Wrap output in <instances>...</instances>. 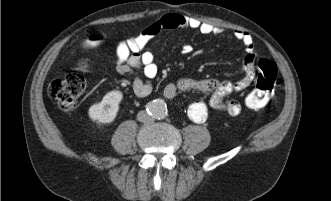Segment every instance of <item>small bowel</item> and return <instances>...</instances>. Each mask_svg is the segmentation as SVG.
I'll use <instances>...</instances> for the list:
<instances>
[{
    "label": "small bowel",
    "instance_id": "1",
    "mask_svg": "<svg viewBox=\"0 0 331 201\" xmlns=\"http://www.w3.org/2000/svg\"><path fill=\"white\" fill-rule=\"evenodd\" d=\"M189 28L196 30L203 35L221 34L223 29L219 26L199 21L195 18L181 14H168L137 34L119 41L115 47L116 70L121 75L132 74L140 70L145 77L152 79L156 76L158 68L154 61V55L147 50L148 43L162 30ZM235 39L242 42L245 47L246 56L243 66L245 74L237 82L229 80L205 79L195 80L183 78L177 82L169 83L164 88V96L173 99L179 92L187 90H197L210 92L209 101L197 100L192 102L187 109L188 117L195 123L206 121L210 110L224 111L231 116H236L241 112V103L236 99H226L234 91H242L247 88L255 78L256 54L252 36L243 30L233 32ZM183 52H188L187 46ZM133 92L138 97H146L152 91L149 80L136 77L132 84Z\"/></svg>",
    "mask_w": 331,
    "mask_h": 201
}]
</instances>
